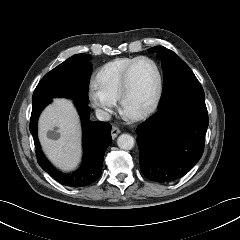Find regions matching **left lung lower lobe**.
<instances>
[{
  "label": "left lung lower lobe",
  "instance_id": "obj_1",
  "mask_svg": "<svg viewBox=\"0 0 240 240\" xmlns=\"http://www.w3.org/2000/svg\"><path fill=\"white\" fill-rule=\"evenodd\" d=\"M208 124L205 98L168 102L136 129L141 172L159 183L182 177L203 154Z\"/></svg>",
  "mask_w": 240,
  "mask_h": 240
}]
</instances>
